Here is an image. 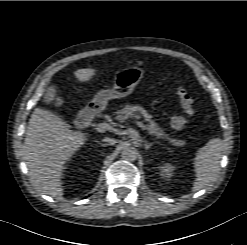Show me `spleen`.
I'll return each instance as SVG.
<instances>
[{
	"instance_id": "1",
	"label": "spleen",
	"mask_w": 247,
	"mask_h": 245,
	"mask_svg": "<svg viewBox=\"0 0 247 245\" xmlns=\"http://www.w3.org/2000/svg\"><path fill=\"white\" fill-rule=\"evenodd\" d=\"M222 145L220 138H213L197 151L194 158L196 179L193 185V191L204 188L215 177L222 158Z\"/></svg>"
}]
</instances>
